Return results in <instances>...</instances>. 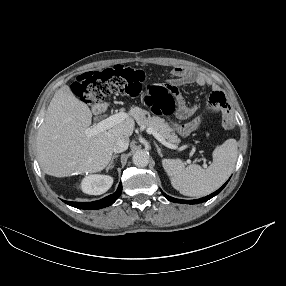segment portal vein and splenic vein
Masks as SVG:
<instances>
[{"mask_svg":"<svg viewBox=\"0 0 286 286\" xmlns=\"http://www.w3.org/2000/svg\"><path fill=\"white\" fill-rule=\"evenodd\" d=\"M127 118H128V115L124 112L114 114L100 121L95 126L86 129L85 134L88 137L94 136L95 134L99 132L105 131L107 129L114 127L117 124H120L121 122L125 121ZM147 133L152 134L161 144L165 145L166 147L171 148V149H178L176 145L167 142L156 130L152 128H147ZM204 166L207 167L206 164H204Z\"/></svg>","mask_w":286,"mask_h":286,"instance_id":"portal-vein-and-splenic-vein-1","label":"portal vein and splenic vein"}]
</instances>
